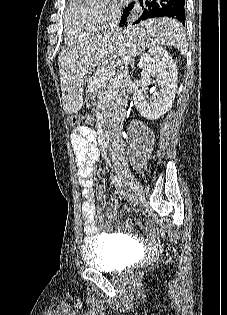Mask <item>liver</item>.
I'll list each match as a JSON object with an SVG mask.
<instances>
[{
  "label": "liver",
  "instance_id": "liver-1",
  "mask_svg": "<svg viewBox=\"0 0 227 315\" xmlns=\"http://www.w3.org/2000/svg\"><path fill=\"white\" fill-rule=\"evenodd\" d=\"M158 45L174 46L185 54L187 43L182 24L172 18L149 19L62 50L58 64L64 111L73 114L83 107V87L91 72L105 80L115 75L117 78L125 67L129 73L135 57Z\"/></svg>",
  "mask_w": 227,
  "mask_h": 315
}]
</instances>
